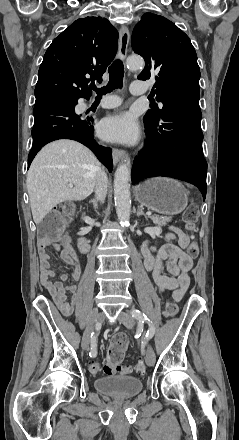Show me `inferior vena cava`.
Wrapping results in <instances>:
<instances>
[{"label": "inferior vena cava", "instance_id": "1", "mask_svg": "<svg viewBox=\"0 0 239 440\" xmlns=\"http://www.w3.org/2000/svg\"><path fill=\"white\" fill-rule=\"evenodd\" d=\"M107 184H108V178L105 172H103V170H99L98 178L95 184V194L97 200H101V202H103V200H105L106 198Z\"/></svg>", "mask_w": 239, "mask_h": 440}]
</instances>
